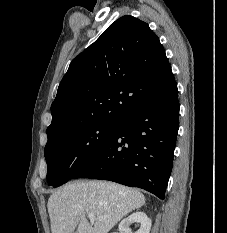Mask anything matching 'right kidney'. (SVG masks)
<instances>
[{
	"label": "right kidney",
	"mask_w": 227,
	"mask_h": 233,
	"mask_svg": "<svg viewBox=\"0 0 227 233\" xmlns=\"http://www.w3.org/2000/svg\"><path fill=\"white\" fill-rule=\"evenodd\" d=\"M136 224L138 230L135 233H150L151 220L144 212H134L119 223L120 233H132L130 225Z\"/></svg>",
	"instance_id": "right-kidney-1"
}]
</instances>
